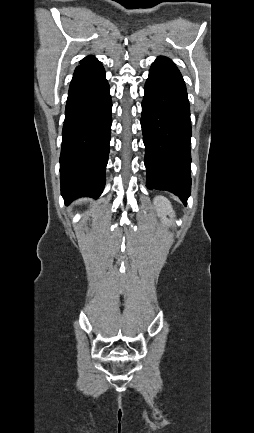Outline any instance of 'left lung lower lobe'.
<instances>
[{
  "instance_id": "left-lung-lower-lobe-1",
  "label": "left lung lower lobe",
  "mask_w": 254,
  "mask_h": 433,
  "mask_svg": "<svg viewBox=\"0 0 254 433\" xmlns=\"http://www.w3.org/2000/svg\"><path fill=\"white\" fill-rule=\"evenodd\" d=\"M142 101L148 189L167 190L186 204L191 192L190 106L182 75L160 56L152 64Z\"/></svg>"
}]
</instances>
